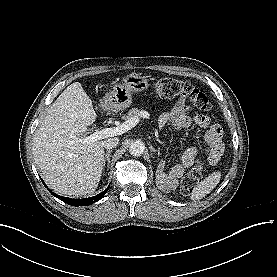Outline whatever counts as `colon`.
<instances>
[{"label": "colon", "mask_w": 277, "mask_h": 277, "mask_svg": "<svg viewBox=\"0 0 277 277\" xmlns=\"http://www.w3.org/2000/svg\"><path fill=\"white\" fill-rule=\"evenodd\" d=\"M154 88L156 95L161 99H171L182 96L189 99L194 108L198 111L208 112L211 109V104L207 96L188 81L175 78H163L155 83ZM215 161L216 157L212 156L207 162H199L194 168H192L182 180L181 192L184 195H190L205 169L212 166Z\"/></svg>", "instance_id": "1"}]
</instances>
